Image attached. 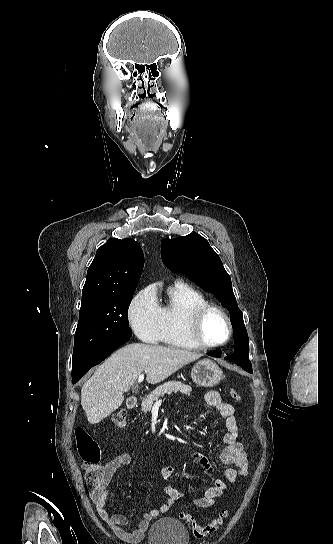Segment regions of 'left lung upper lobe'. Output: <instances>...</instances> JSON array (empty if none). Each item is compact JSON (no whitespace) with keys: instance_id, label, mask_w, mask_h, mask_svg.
<instances>
[{"instance_id":"1","label":"left lung upper lobe","mask_w":333,"mask_h":544,"mask_svg":"<svg viewBox=\"0 0 333 544\" xmlns=\"http://www.w3.org/2000/svg\"><path fill=\"white\" fill-rule=\"evenodd\" d=\"M161 257L172 272L186 274L202 289L215 294L230 311L234 331L243 333V344L236 342L233 360L235 363L250 366L248 336L243 323V314L237 306L231 278L226 272L220 257L202 236L192 233L161 242Z\"/></svg>"}]
</instances>
